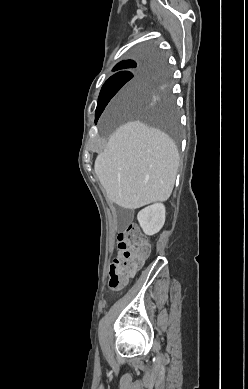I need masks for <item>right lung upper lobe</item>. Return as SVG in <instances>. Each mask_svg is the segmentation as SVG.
Masks as SVG:
<instances>
[{"label": "right lung upper lobe", "mask_w": 248, "mask_h": 389, "mask_svg": "<svg viewBox=\"0 0 248 389\" xmlns=\"http://www.w3.org/2000/svg\"><path fill=\"white\" fill-rule=\"evenodd\" d=\"M147 56H149L151 59H155V58L159 57L160 54H159L158 52L151 51L149 54H147ZM134 63H135V62L132 61V60L122 61V62H120L119 64H117V65L114 67L113 71L118 70V69H122V68L127 67V66H130V65H132V64H134ZM151 66L153 67L154 64H152Z\"/></svg>", "instance_id": "right-lung-upper-lobe-1"}]
</instances>
